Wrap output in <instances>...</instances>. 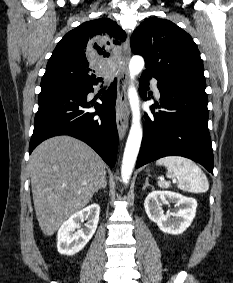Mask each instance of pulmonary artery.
<instances>
[{
	"label": "pulmonary artery",
	"mask_w": 233,
	"mask_h": 283,
	"mask_svg": "<svg viewBox=\"0 0 233 283\" xmlns=\"http://www.w3.org/2000/svg\"><path fill=\"white\" fill-rule=\"evenodd\" d=\"M151 85H152V88H153L156 96L160 97V92H159V89H158L157 81L156 80H151Z\"/></svg>",
	"instance_id": "obj_1"
}]
</instances>
